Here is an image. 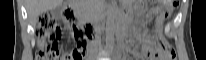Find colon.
Segmentation results:
<instances>
[{
  "instance_id": "5ec220e1",
  "label": "colon",
  "mask_w": 206,
  "mask_h": 60,
  "mask_svg": "<svg viewBox=\"0 0 206 60\" xmlns=\"http://www.w3.org/2000/svg\"><path fill=\"white\" fill-rule=\"evenodd\" d=\"M160 6V11L168 15L176 6L177 1L166 0ZM37 60H82L87 50L89 35L83 32L77 34L76 47L69 52H63L59 47L61 30L48 14L40 15L37 23ZM155 55L165 60H174L173 49L165 42L160 41L158 49L154 50Z\"/></svg>"
}]
</instances>
